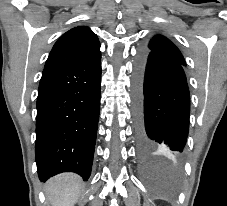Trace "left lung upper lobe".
Masks as SVG:
<instances>
[{
	"label": "left lung upper lobe",
	"mask_w": 227,
	"mask_h": 206,
	"mask_svg": "<svg viewBox=\"0 0 227 206\" xmlns=\"http://www.w3.org/2000/svg\"><path fill=\"white\" fill-rule=\"evenodd\" d=\"M144 51L148 54L167 57L182 65H186L179 49L169 39L162 35L154 36L144 48Z\"/></svg>",
	"instance_id": "left-lung-upper-lobe-1"
}]
</instances>
